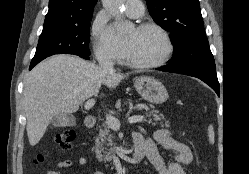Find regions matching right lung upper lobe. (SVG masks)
I'll return each mask as SVG.
<instances>
[{"label": "right lung upper lobe", "mask_w": 249, "mask_h": 174, "mask_svg": "<svg viewBox=\"0 0 249 174\" xmlns=\"http://www.w3.org/2000/svg\"><path fill=\"white\" fill-rule=\"evenodd\" d=\"M96 2L97 0H49L43 30L91 19Z\"/></svg>", "instance_id": "right-lung-upper-lobe-1"}]
</instances>
